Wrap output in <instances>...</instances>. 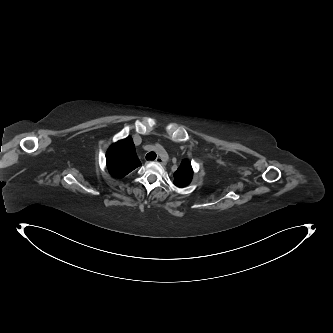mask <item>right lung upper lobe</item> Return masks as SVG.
<instances>
[{"instance_id": "1", "label": "right lung upper lobe", "mask_w": 333, "mask_h": 333, "mask_svg": "<svg viewBox=\"0 0 333 333\" xmlns=\"http://www.w3.org/2000/svg\"><path fill=\"white\" fill-rule=\"evenodd\" d=\"M106 163L109 173L115 178H123L141 165L133 140L127 137L113 143L106 154Z\"/></svg>"}]
</instances>
